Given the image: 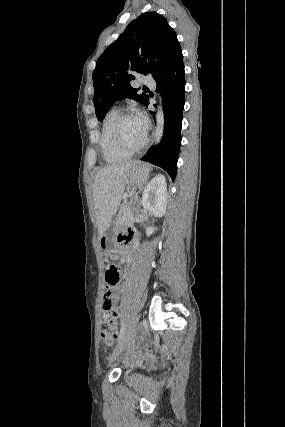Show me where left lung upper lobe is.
<instances>
[{"mask_svg": "<svg viewBox=\"0 0 285 427\" xmlns=\"http://www.w3.org/2000/svg\"><path fill=\"white\" fill-rule=\"evenodd\" d=\"M181 47L167 20L146 12L130 22L96 63L93 71L94 106L102 121L113 102L131 98L147 105L149 96L131 86L134 74H151L156 80L170 67Z\"/></svg>", "mask_w": 285, "mask_h": 427, "instance_id": "5c2ea615", "label": "left lung upper lobe"}]
</instances>
